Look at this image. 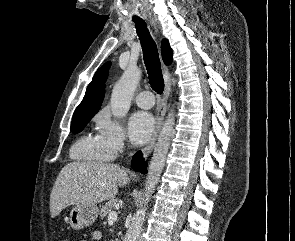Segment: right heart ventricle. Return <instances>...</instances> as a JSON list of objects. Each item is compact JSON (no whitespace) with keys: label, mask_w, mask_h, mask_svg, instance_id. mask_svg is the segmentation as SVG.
<instances>
[{"label":"right heart ventricle","mask_w":295,"mask_h":241,"mask_svg":"<svg viewBox=\"0 0 295 241\" xmlns=\"http://www.w3.org/2000/svg\"><path fill=\"white\" fill-rule=\"evenodd\" d=\"M71 157L78 161L104 162L111 160L113 156L99 134H87L74 143Z\"/></svg>","instance_id":"obj_1"}]
</instances>
